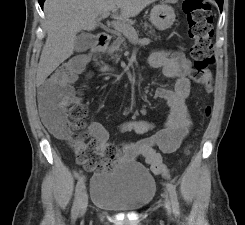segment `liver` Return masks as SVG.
<instances>
[{
	"instance_id": "6515ba94",
	"label": "liver",
	"mask_w": 245,
	"mask_h": 225,
	"mask_svg": "<svg viewBox=\"0 0 245 225\" xmlns=\"http://www.w3.org/2000/svg\"><path fill=\"white\" fill-rule=\"evenodd\" d=\"M156 0H46L44 4L47 38L38 64L36 82L41 85L46 78L74 52L77 33L92 31L96 19L104 12L122 21L137 16Z\"/></svg>"
}]
</instances>
